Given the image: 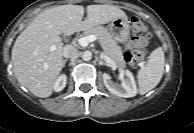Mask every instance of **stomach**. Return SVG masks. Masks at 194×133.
I'll return each mask as SVG.
<instances>
[{
    "label": "stomach",
    "instance_id": "1",
    "mask_svg": "<svg viewBox=\"0 0 194 133\" xmlns=\"http://www.w3.org/2000/svg\"><path fill=\"white\" fill-rule=\"evenodd\" d=\"M108 29L114 39L121 43L125 42L130 34V25L126 17H118L112 20Z\"/></svg>",
    "mask_w": 194,
    "mask_h": 133
}]
</instances>
